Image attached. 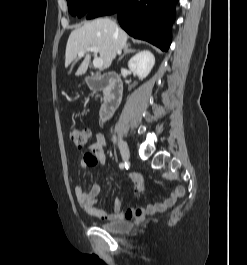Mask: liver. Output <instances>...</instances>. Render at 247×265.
<instances>
[{"label":"liver","mask_w":247,"mask_h":265,"mask_svg":"<svg viewBox=\"0 0 247 265\" xmlns=\"http://www.w3.org/2000/svg\"><path fill=\"white\" fill-rule=\"evenodd\" d=\"M128 36L119 29L117 24L108 18H98L94 21L85 23L82 27L71 32L65 53V67L76 59L80 51L88 47H98L100 58L103 60V67L109 68L113 59L121 50L127 46ZM88 52V51H86ZM90 62V55L86 54L79 66L76 75L86 73Z\"/></svg>","instance_id":"6515ba94"}]
</instances>
